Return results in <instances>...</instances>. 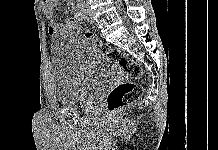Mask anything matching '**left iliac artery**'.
<instances>
[{
	"label": "left iliac artery",
	"mask_w": 218,
	"mask_h": 150,
	"mask_svg": "<svg viewBox=\"0 0 218 150\" xmlns=\"http://www.w3.org/2000/svg\"><path fill=\"white\" fill-rule=\"evenodd\" d=\"M84 13V2H80L79 9H78V17L83 18L85 15Z\"/></svg>",
	"instance_id": "44dca946"
}]
</instances>
